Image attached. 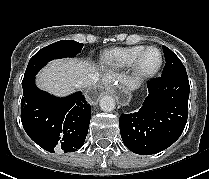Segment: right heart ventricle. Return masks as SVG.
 <instances>
[{
    "instance_id": "right-heart-ventricle-1",
    "label": "right heart ventricle",
    "mask_w": 209,
    "mask_h": 179,
    "mask_svg": "<svg viewBox=\"0 0 209 179\" xmlns=\"http://www.w3.org/2000/svg\"><path fill=\"white\" fill-rule=\"evenodd\" d=\"M145 46L134 45L128 47H116L104 51L100 57L102 67L110 70H123L132 64L137 54Z\"/></svg>"
}]
</instances>
